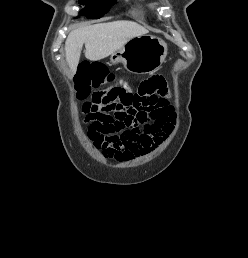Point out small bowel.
<instances>
[{
	"label": "small bowel",
	"instance_id": "small-bowel-1",
	"mask_svg": "<svg viewBox=\"0 0 248 258\" xmlns=\"http://www.w3.org/2000/svg\"><path fill=\"white\" fill-rule=\"evenodd\" d=\"M103 93L113 95L121 109L132 114L131 122L117 132L90 134L95 148L104 157L125 162L146 155L172 132L175 116L163 79L152 77L144 80L136 90L114 87Z\"/></svg>",
	"mask_w": 248,
	"mask_h": 258
}]
</instances>
